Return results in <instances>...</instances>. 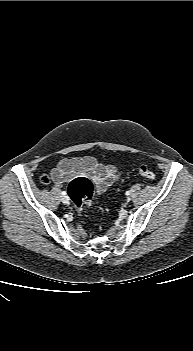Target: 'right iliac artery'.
<instances>
[{
    "label": "right iliac artery",
    "instance_id": "right-iliac-artery-1",
    "mask_svg": "<svg viewBox=\"0 0 193 351\" xmlns=\"http://www.w3.org/2000/svg\"><path fill=\"white\" fill-rule=\"evenodd\" d=\"M61 194L65 196V195H66V192H65V191H62Z\"/></svg>",
    "mask_w": 193,
    "mask_h": 351
}]
</instances>
